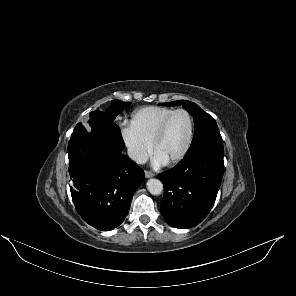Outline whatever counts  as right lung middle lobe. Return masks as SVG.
<instances>
[{"instance_id":"obj_1","label":"right lung middle lobe","mask_w":296,"mask_h":296,"mask_svg":"<svg viewBox=\"0 0 296 296\" xmlns=\"http://www.w3.org/2000/svg\"><path fill=\"white\" fill-rule=\"evenodd\" d=\"M128 105H130V102L113 100L111 106L105 112H101L99 110L91 112L89 122L91 121H99L104 123L113 122L115 117Z\"/></svg>"}]
</instances>
